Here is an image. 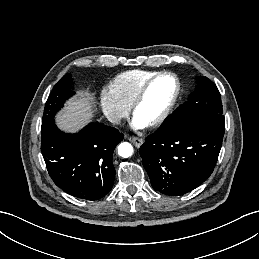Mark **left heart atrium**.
<instances>
[{
	"label": "left heart atrium",
	"instance_id": "1",
	"mask_svg": "<svg viewBox=\"0 0 259 259\" xmlns=\"http://www.w3.org/2000/svg\"><path fill=\"white\" fill-rule=\"evenodd\" d=\"M133 126L136 129H143L147 126V124H145L144 122H142L141 120H139L135 117L134 120H133Z\"/></svg>",
	"mask_w": 259,
	"mask_h": 259
}]
</instances>
